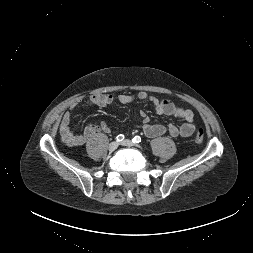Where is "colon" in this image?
I'll list each match as a JSON object with an SVG mask.
<instances>
[{"label": "colon", "mask_w": 253, "mask_h": 253, "mask_svg": "<svg viewBox=\"0 0 253 253\" xmlns=\"http://www.w3.org/2000/svg\"><path fill=\"white\" fill-rule=\"evenodd\" d=\"M204 139V130L203 129H199L195 135V142L196 143H201Z\"/></svg>", "instance_id": "colon-1"}]
</instances>
